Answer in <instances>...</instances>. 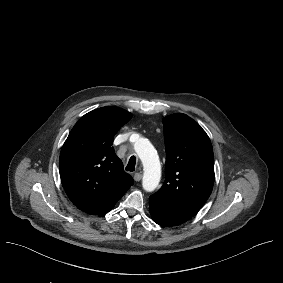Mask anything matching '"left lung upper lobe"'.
Listing matches in <instances>:
<instances>
[{"label": "left lung upper lobe", "instance_id": "1", "mask_svg": "<svg viewBox=\"0 0 283 283\" xmlns=\"http://www.w3.org/2000/svg\"><path fill=\"white\" fill-rule=\"evenodd\" d=\"M166 148L165 181L154 194L165 200L201 208L214 183V155L205 131L185 114L163 119Z\"/></svg>", "mask_w": 283, "mask_h": 283}]
</instances>
